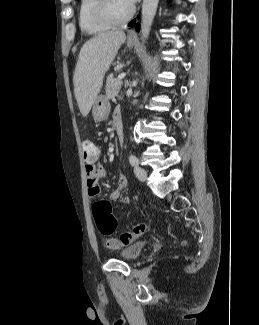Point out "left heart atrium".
Returning a JSON list of instances; mask_svg holds the SVG:
<instances>
[{
	"label": "left heart atrium",
	"instance_id": "left-heart-atrium-1",
	"mask_svg": "<svg viewBox=\"0 0 259 325\" xmlns=\"http://www.w3.org/2000/svg\"><path fill=\"white\" fill-rule=\"evenodd\" d=\"M128 5L132 6L136 0H124Z\"/></svg>",
	"mask_w": 259,
	"mask_h": 325
}]
</instances>
